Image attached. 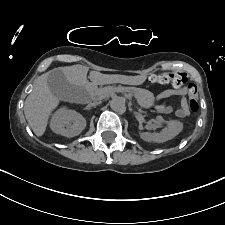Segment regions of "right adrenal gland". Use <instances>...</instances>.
<instances>
[{"label": "right adrenal gland", "instance_id": "right-adrenal-gland-1", "mask_svg": "<svg viewBox=\"0 0 225 225\" xmlns=\"http://www.w3.org/2000/svg\"><path fill=\"white\" fill-rule=\"evenodd\" d=\"M86 110H89V108L87 107V108H85Z\"/></svg>", "mask_w": 225, "mask_h": 225}]
</instances>
